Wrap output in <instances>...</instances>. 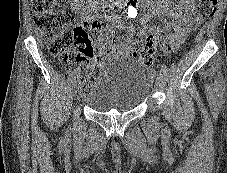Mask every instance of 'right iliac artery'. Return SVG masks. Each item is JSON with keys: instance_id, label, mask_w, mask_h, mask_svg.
I'll return each instance as SVG.
<instances>
[{"instance_id": "1", "label": "right iliac artery", "mask_w": 227, "mask_h": 173, "mask_svg": "<svg viewBox=\"0 0 227 173\" xmlns=\"http://www.w3.org/2000/svg\"><path fill=\"white\" fill-rule=\"evenodd\" d=\"M76 75H77L76 70H74L72 73H70V75L68 76V83H72L75 80Z\"/></svg>"}]
</instances>
